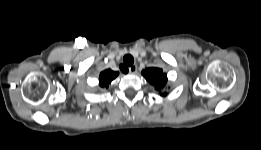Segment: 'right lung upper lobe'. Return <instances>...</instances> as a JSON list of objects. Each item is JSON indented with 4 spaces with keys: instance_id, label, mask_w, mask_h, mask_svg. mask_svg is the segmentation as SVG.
Wrapping results in <instances>:
<instances>
[{
    "instance_id": "cb5924a9",
    "label": "right lung upper lobe",
    "mask_w": 261,
    "mask_h": 150,
    "mask_svg": "<svg viewBox=\"0 0 261 150\" xmlns=\"http://www.w3.org/2000/svg\"><path fill=\"white\" fill-rule=\"evenodd\" d=\"M118 75V72H113L112 70L108 69V70H105L103 71L101 74H100V78H99V81H100V86L102 87H108V84L117 77Z\"/></svg>"
}]
</instances>
